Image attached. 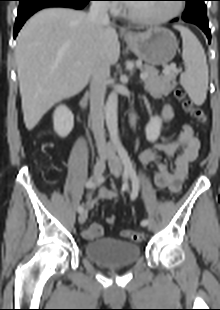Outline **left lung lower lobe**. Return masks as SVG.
Listing matches in <instances>:
<instances>
[{
  "instance_id": "obj_1",
  "label": "left lung lower lobe",
  "mask_w": 220,
  "mask_h": 310,
  "mask_svg": "<svg viewBox=\"0 0 220 310\" xmlns=\"http://www.w3.org/2000/svg\"><path fill=\"white\" fill-rule=\"evenodd\" d=\"M177 20L178 19H174L173 22L177 21ZM184 21L197 25L206 34V36L208 37L209 43L211 42V33H210V29L208 27V22H204V21H190V20H184Z\"/></svg>"
}]
</instances>
